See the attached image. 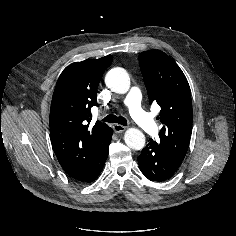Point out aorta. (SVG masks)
I'll return each instance as SVG.
<instances>
[{"instance_id":"762f6f07","label":"aorta","mask_w":236,"mask_h":236,"mask_svg":"<svg viewBox=\"0 0 236 236\" xmlns=\"http://www.w3.org/2000/svg\"><path fill=\"white\" fill-rule=\"evenodd\" d=\"M105 83L116 93H126L130 87V78L125 69L116 67L108 71ZM124 140L126 145L134 150H141L145 146V136L136 128H129L125 132Z\"/></svg>"}]
</instances>
